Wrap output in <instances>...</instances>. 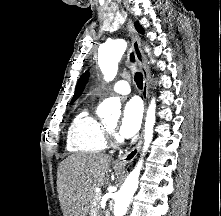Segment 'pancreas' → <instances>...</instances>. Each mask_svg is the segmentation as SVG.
<instances>
[{"label": "pancreas", "instance_id": "cf45deb5", "mask_svg": "<svg viewBox=\"0 0 221 216\" xmlns=\"http://www.w3.org/2000/svg\"><path fill=\"white\" fill-rule=\"evenodd\" d=\"M100 195H94L91 203V210H90V215L91 216H102V212L99 207V202H100ZM107 216V212L105 213Z\"/></svg>", "mask_w": 221, "mask_h": 216}]
</instances>
